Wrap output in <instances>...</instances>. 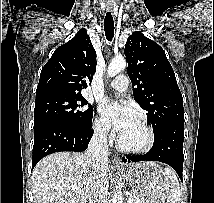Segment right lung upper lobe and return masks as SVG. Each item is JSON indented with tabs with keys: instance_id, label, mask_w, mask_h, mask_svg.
<instances>
[{
	"instance_id": "1",
	"label": "right lung upper lobe",
	"mask_w": 214,
	"mask_h": 203,
	"mask_svg": "<svg viewBox=\"0 0 214 203\" xmlns=\"http://www.w3.org/2000/svg\"><path fill=\"white\" fill-rule=\"evenodd\" d=\"M96 69V52L85 29L58 47L42 68L36 98L55 94H81L91 83Z\"/></svg>"
}]
</instances>
